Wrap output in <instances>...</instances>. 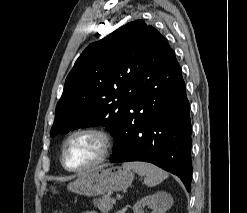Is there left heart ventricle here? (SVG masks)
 <instances>
[{"label":"left heart ventricle","mask_w":247,"mask_h":213,"mask_svg":"<svg viewBox=\"0 0 247 213\" xmlns=\"http://www.w3.org/2000/svg\"><path fill=\"white\" fill-rule=\"evenodd\" d=\"M101 141L91 134L77 135L66 147L65 161L71 168H80L92 163L100 154Z\"/></svg>","instance_id":"b2bd125f"}]
</instances>
